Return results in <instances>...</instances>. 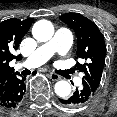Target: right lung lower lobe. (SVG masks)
I'll use <instances>...</instances> for the list:
<instances>
[{
    "label": "right lung lower lobe",
    "instance_id": "98d812e1",
    "mask_svg": "<svg viewBox=\"0 0 117 117\" xmlns=\"http://www.w3.org/2000/svg\"><path fill=\"white\" fill-rule=\"evenodd\" d=\"M24 79L15 77L10 81L4 92L0 95V106L14 108L21 103L26 91Z\"/></svg>",
    "mask_w": 117,
    "mask_h": 117
}]
</instances>
